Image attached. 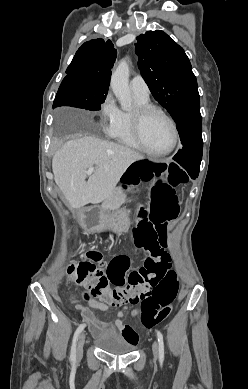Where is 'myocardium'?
Here are the masks:
<instances>
[{"instance_id": "myocardium-1", "label": "myocardium", "mask_w": 248, "mask_h": 389, "mask_svg": "<svg viewBox=\"0 0 248 389\" xmlns=\"http://www.w3.org/2000/svg\"><path fill=\"white\" fill-rule=\"evenodd\" d=\"M152 114H159L163 116L171 125L172 128V133H173V141L171 146L164 150V151H153L151 150L145 143L144 138H143V125L146 119L152 115ZM131 119H132V130H133V135L140 145L141 149L151 155V156H156V157H161V156H166L173 152L175 148L177 147L178 141H179V132L178 128L176 125V122L174 119L166 113L164 110L161 108L148 104V105H140L138 106L135 111L132 112L131 114Z\"/></svg>"}]
</instances>
